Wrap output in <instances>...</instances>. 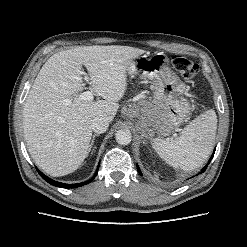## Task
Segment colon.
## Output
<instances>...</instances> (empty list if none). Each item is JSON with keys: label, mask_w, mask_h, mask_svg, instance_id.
<instances>
[{"label": "colon", "mask_w": 247, "mask_h": 247, "mask_svg": "<svg viewBox=\"0 0 247 247\" xmlns=\"http://www.w3.org/2000/svg\"><path fill=\"white\" fill-rule=\"evenodd\" d=\"M173 67L187 82H192L199 71L197 64L182 56L174 57Z\"/></svg>", "instance_id": "1"}]
</instances>
